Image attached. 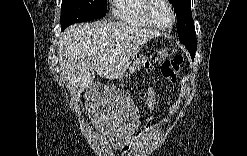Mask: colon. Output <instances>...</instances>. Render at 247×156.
I'll return each instance as SVG.
<instances>
[{
    "label": "colon",
    "mask_w": 247,
    "mask_h": 156,
    "mask_svg": "<svg viewBox=\"0 0 247 156\" xmlns=\"http://www.w3.org/2000/svg\"><path fill=\"white\" fill-rule=\"evenodd\" d=\"M183 58L180 55L166 60L161 65L162 76L170 83H175L181 71Z\"/></svg>",
    "instance_id": "1"
}]
</instances>
